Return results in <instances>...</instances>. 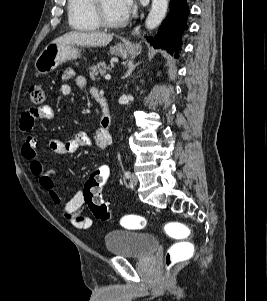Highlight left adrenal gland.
<instances>
[{
  "label": "left adrenal gland",
  "mask_w": 267,
  "mask_h": 301,
  "mask_svg": "<svg viewBox=\"0 0 267 301\" xmlns=\"http://www.w3.org/2000/svg\"><path fill=\"white\" fill-rule=\"evenodd\" d=\"M139 65V63L134 64L133 59L129 60L127 63L128 66V70L125 73V75L123 76V78H127L131 75V73L133 72V70Z\"/></svg>",
  "instance_id": "left-adrenal-gland-1"
}]
</instances>
